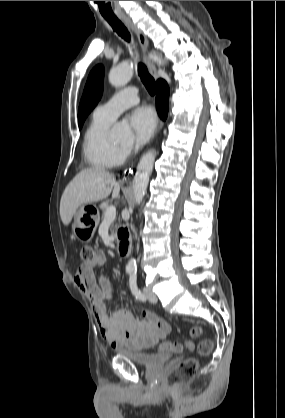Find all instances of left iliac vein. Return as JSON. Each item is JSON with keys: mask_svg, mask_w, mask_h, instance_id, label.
<instances>
[{"mask_svg": "<svg viewBox=\"0 0 285 418\" xmlns=\"http://www.w3.org/2000/svg\"><path fill=\"white\" fill-rule=\"evenodd\" d=\"M144 295L146 298L151 302H157L156 295L152 292V290L149 287H144L143 289Z\"/></svg>", "mask_w": 285, "mask_h": 418, "instance_id": "4c4485c4", "label": "left iliac vein"}]
</instances>
